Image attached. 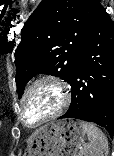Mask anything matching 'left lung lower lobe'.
I'll return each mask as SVG.
<instances>
[{"label": "left lung lower lobe", "instance_id": "obj_1", "mask_svg": "<svg viewBox=\"0 0 114 156\" xmlns=\"http://www.w3.org/2000/svg\"><path fill=\"white\" fill-rule=\"evenodd\" d=\"M72 102L60 117L94 122L114 133V24L99 6L77 56Z\"/></svg>", "mask_w": 114, "mask_h": 156}]
</instances>
